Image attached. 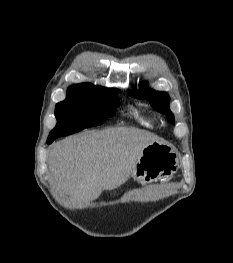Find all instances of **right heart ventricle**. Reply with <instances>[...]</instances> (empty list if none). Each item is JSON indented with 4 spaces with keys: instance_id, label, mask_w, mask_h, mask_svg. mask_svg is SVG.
Masks as SVG:
<instances>
[{
    "instance_id": "right-heart-ventricle-1",
    "label": "right heart ventricle",
    "mask_w": 233,
    "mask_h": 263,
    "mask_svg": "<svg viewBox=\"0 0 233 263\" xmlns=\"http://www.w3.org/2000/svg\"><path fill=\"white\" fill-rule=\"evenodd\" d=\"M133 115L135 118L144 126H151V118L145 114L143 111L139 109H133L132 110Z\"/></svg>"
}]
</instances>
